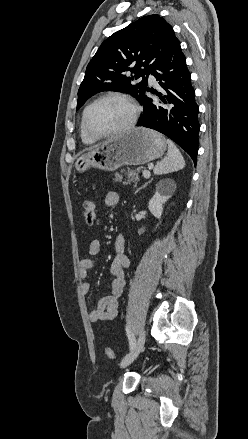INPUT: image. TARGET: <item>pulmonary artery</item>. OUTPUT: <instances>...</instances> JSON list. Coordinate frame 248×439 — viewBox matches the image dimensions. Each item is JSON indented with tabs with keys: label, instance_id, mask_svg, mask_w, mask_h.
<instances>
[{
	"label": "pulmonary artery",
	"instance_id": "1",
	"mask_svg": "<svg viewBox=\"0 0 248 439\" xmlns=\"http://www.w3.org/2000/svg\"><path fill=\"white\" fill-rule=\"evenodd\" d=\"M149 81L151 82V83H155V78L153 77V76H149Z\"/></svg>",
	"mask_w": 248,
	"mask_h": 439
}]
</instances>
